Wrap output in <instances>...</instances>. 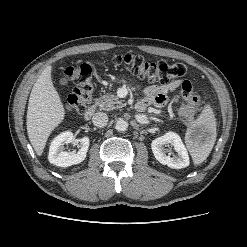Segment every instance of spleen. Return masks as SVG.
Masks as SVG:
<instances>
[{
	"mask_svg": "<svg viewBox=\"0 0 247 247\" xmlns=\"http://www.w3.org/2000/svg\"><path fill=\"white\" fill-rule=\"evenodd\" d=\"M194 127L202 128L207 132L203 142L194 141L190 137V131L186 136V143L194 164L199 165L210 154L216 140V119L210 105H205L200 116L194 123Z\"/></svg>",
	"mask_w": 247,
	"mask_h": 247,
	"instance_id": "spleen-1",
	"label": "spleen"
}]
</instances>
